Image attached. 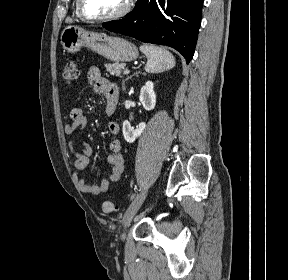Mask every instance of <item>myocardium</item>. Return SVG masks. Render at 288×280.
I'll return each mask as SVG.
<instances>
[{"mask_svg": "<svg viewBox=\"0 0 288 280\" xmlns=\"http://www.w3.org/2000/svg\"><path fill=\"white\" fill-rule=\"evenodd\" d=\"M132 2L133 0H126L121 10H119L118 12L112 15L103 16V17H94V16L87 14L84 10V0H77L76 3H77L78 14L82 19L86 21H90V22H109V21L119 20L123 18L124 16H126L132 7Z\"/></svg>", "mask_w": 288, "mask_h": 280, "instance_id": "myocardium-1", "label": "myocardium"}]
</instances>
